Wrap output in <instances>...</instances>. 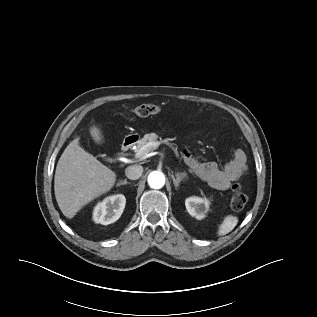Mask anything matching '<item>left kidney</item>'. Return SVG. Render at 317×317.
<instances>
[{"label":"left kidney","mask_w":317,"mask_h":317,"mask_svg":"<svg viewBox=\"0 0 317 317\" xmlns=\"http://www.w3.org/2000/svg\"><path fill=\"white\" fill-rule=\"evenodd\" d=\"M210 202L206 198L189 197L185 201L188 213L198 220L205 218Z\"/></svg>","instance_id":"obj_1"}]
</instances>
